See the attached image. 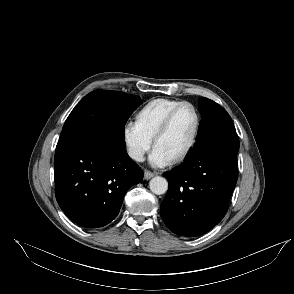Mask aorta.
<instances>
[{
	"mask_svg": "<svg viewBox=\"0 0 294 294\" xmlns=\"http://www.w3.org/2000/svg\"><path fill=\"white\" fill-rule=\"evenodd\" d=\"M149 187L154 194L161 195L168 190V182L165 178L156 176L150 180Z\"/></svg>",
	"mask_w": 294,
	"mask_h": 294,
	"instance_id": "1",
	"label": "aorta"
}]
</instances>
